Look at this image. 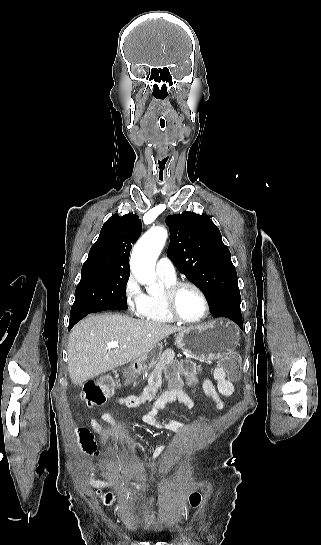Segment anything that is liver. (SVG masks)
Instances as JSON below:
<instances>
[{
	"label": "liver",
	"mask_w": 321,
	"mask_h": 545,
	"mask_svg": "<svg viewBox=\"0 0 321 545\" xmlns=\"http://www.w3.org/2000/svg\"><path fill=\"white\" fill-rule=\"evenodd\" d=\"M182 327L139 321L125 315H90L73 327L68 341V371L74 385L135 361L156 347L159 341ZM117 341V349L106 343Z\"/></svg>",
	"instance_id": "1"
}]
</instances>
